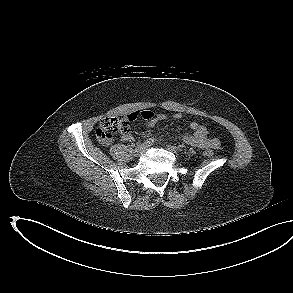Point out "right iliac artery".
<instances>
[{"label": "right iliac artery", "mask_w": 293, "mask_h": 293, "mask_svg": "<svg viewBox=\"0 0 293 293\" xmlns=\"http://www.w3.org/2000/svg\"><path fill=\"white\" fill-rule=\"evenodd\" d=\"M154 143V139L150 138V139H147L143 145L149 147L151 146L152 144Z\"/></svg>", "instance_id": "1"}]
</instances>
